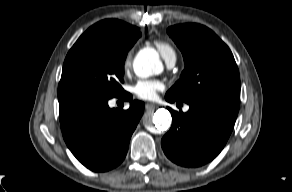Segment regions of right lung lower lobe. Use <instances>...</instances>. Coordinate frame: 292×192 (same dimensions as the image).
I'll return each instance as SVG.
<instances>
[{"instance_id": "right-lung-lower-lobe-1", "label": "right lung lower lobe", "mask_w": 292, "mask_h": 192, "mask_svg": "<svg viewBox=\"0 0 292 192\" xmlns=\"http://www.w3.org/2000/svg\"><path fill=\"white\" fill-rule=\"evenodd\" d=\"M118 98L130 101V108H109L111 98L85 90L58 92L63 138L73 155L92 171L111 170L124 160L143 115V102L132 101L125 91Z\"/></svg>"}]
</instances>
